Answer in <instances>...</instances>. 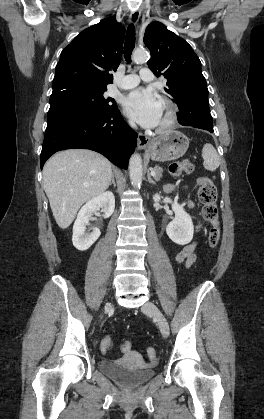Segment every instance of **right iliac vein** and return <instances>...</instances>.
I'll return each instance as SVG.
<instances>
[{
    "instance_id": "1",
    "label": "right iliac vein",
    "mask_w": 264,
    "mask_h": 419,
    "mask_svg": "<svg viewBox=\"0 0 264 419\" xmlns=\"http://www.w3.org/2000/svg\"><path fill=\"white\" fill-rule=\"evenodd\" d=\"M109 306H110V304H107L106 308L109 307Z\"/></svg>"
}]
</instances>
